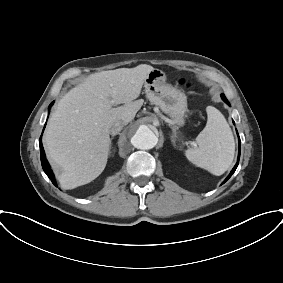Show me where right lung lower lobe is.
I'll return each instance as SVG.
<instances>
[{
  "instance_id": "obj_1",
  "label": "right lung lower lobe",
  "mask_w": 283,
  "mask_h": 283,
  "mask_svg": "<svg viewBox=\"0 0 283 283\" xmlns=\"http://www.w3.org/2000/svg\"><path fill=\"white\" fill-rule=\"evenodd\" d=\"M52 105H53V102L50 104L49 107H51ZM39 145H40V157H41L42 168H43L44 172L47 174V176L49 177V179L52 181V183L56 186L53 172L50 168V165H49V163L46 159V156H45V153H44V150H43L41 137H40V140H39Z\"/></svg>"
}]
</instances>
